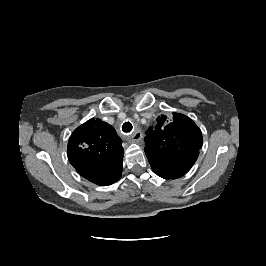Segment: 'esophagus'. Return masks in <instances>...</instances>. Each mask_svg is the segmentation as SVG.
Listing matches in <instances>:
<instances>
[{
  "label": "esophagus",
  "instance_id": "34e87169",
  "mask_svg": "<svg viewBox=\"0 0 266 266\" xmlns=\"http://www.w3.org/2000/svg\"><path fill=\"white\" fill-rule=\"evenodd\" d=\"M142 132L141 131H135L134 133H133V135L131 136V138H132V140L134 141V142H139V141H141V139H142Z\"/></svg>",
  "mask_w": 266,
  "mask_h": 266
}]
</instances>
